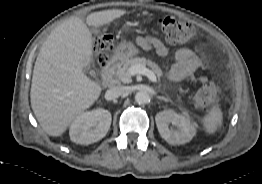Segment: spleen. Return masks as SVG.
I'll list each match as a JSON object with an SVG mask.
<instances>
[{"label": "spleen", "instance_id": "1", "mask_svg": "<svg viewBox=\"0 0 262 184\" xmlns=\"http://www.w3.org/2000/svg\"><path fill=\"white\" fill-rule=\"evenodd\" d=\"M222 120V112L219 107L214 106L209 114L203 119L206 132L212 134L216 131L218 122Z\"/></svg>", "mask_w": 262, "mask_h": 184}]
</instances>
